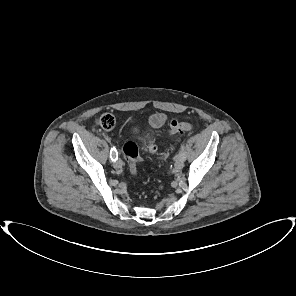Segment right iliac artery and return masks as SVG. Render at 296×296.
Returning <instances> with one entry per match:
<instances>
[{"label": "right iliac artery", "mask_w": 296, "mask_h": 296, "mask_svg": "<svg viewBox=\"0 0 296 296\" xmlns=\"http://www.w3.org/2000/svg\"><path fill=\"white\" fill-rule=\"evenodd\" d=\"M110 158L113 162H115L118 158V153L115 147L111 148Z\"/></svg>", "instance_id": "obj_1"}]
</instances>
